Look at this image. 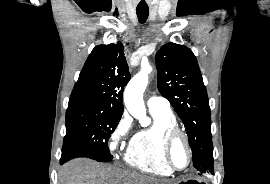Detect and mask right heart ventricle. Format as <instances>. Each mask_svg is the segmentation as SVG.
Listing matches in <instances>:
<instances>
[{
    "mask_svg": "<svg viewBox=\"0 0 270 184\" xmlns=\"http://www.w3.org/2000/svg\"><path fill=\"white\" fill-rule=\"evenodd\" d=\"M153 123L138 131L131 139L125 162L143 172L158 176H170L172 171L165 165L162 157V139L166 128L177 126L171 110H150Z\"/></svg>",
    "mask_w": 270,
    "mask_h": 184,
    "instance_id": "1",
    "label": "right heart ventricle"
}]
</instances>
